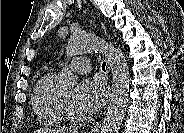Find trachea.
Returning a JSON list of instances; mask_svg holds the SVG:
<instances>
[{
  "instance_id": "3493384b",
  "label": "trachea",
  "mask_w": 184,
  "mask_h": 133,
  "mask_svg": "<svg viewBox=\"0 0 184 133\" xmlns=\"http://www.w3.org/2000/svg\"><path fill=\"white\" fill-rule=\"evenodd\" d=\"M105 67H106V62H103L102 63V69L105 70Z\"/></svg>"
}]
</instances>
